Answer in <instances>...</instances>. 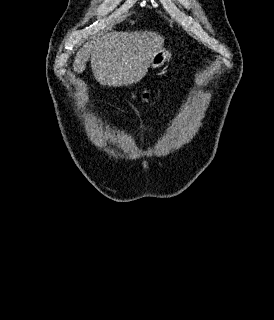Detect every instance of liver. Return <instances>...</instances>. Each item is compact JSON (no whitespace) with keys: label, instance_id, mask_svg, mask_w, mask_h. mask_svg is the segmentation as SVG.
<instances>
[{"label":"liver","instance_id":"liver-1","mask_svg":"<svg viewBox=\"0 0 274 320\" xmlns=\"http://www.w3.org/2000/svg\"><path fill=\"white\" fill-rule=\"evenodd\" d=\"M163 44V36L155 32H108L83 44L74 58L73 70L82 74L90 60L101 86H132L146 76Z\"/></svg>","mask_w":274,"mask_h":320}]
</instances>
